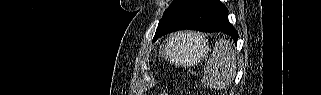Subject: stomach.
<instances>
[{"label":"stomach","mask_w":321,"mask_h":95,"mask_svg":"<svg viewBox=\"0 0 321 95\" xmlns=\"http://www.w3.org/2000/svg\"><path fill=\"white\" fill-rule=\"evenodd\" d=\"M160 52L164 58L178 65H193L206 56L209 44L195 33H180L170 36Z\"/></svg>","instance_id":"1"}]
</instances>
